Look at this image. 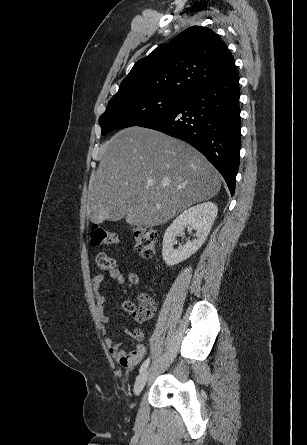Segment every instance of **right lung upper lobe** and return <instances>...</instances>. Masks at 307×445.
Returning a JSON list of instances; mask_svg holds the SVG:
<instances>
[{"mask_svg": "<svg viewBox=\"0 0 307 445\" xmlns=\"http://www.w3.org/2000/svg\"><path fill=\"white\" fill-rule=\"evenodd\" d=\"M225 43L209 28L190 27L140 59L116 95L186 96L234 70Z\"/></svg>", "mask_w": 307, "mask_h": 445, "instance_id": "obj_1", "label": "right lung upper lobe"}]
</instances>
